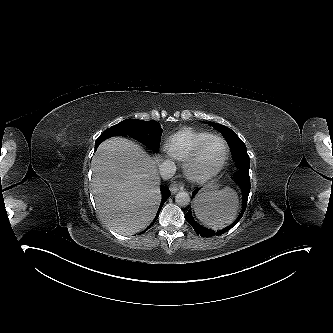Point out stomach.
<instances>
[{"label":"stomach","instance_id":"1","mask_svg":"<svg viewBox=\"0 0 333 333\" xmlns=\"http://www.w3.org/2000/svg\"><path fill=\"white\" fill-rule=\"evenodd\" d=\"M218 189V185L215 183H210L201 194H209L213 191H216Z\"/></svg>","mask_w":333,"mask_h":333}]
</instances>
